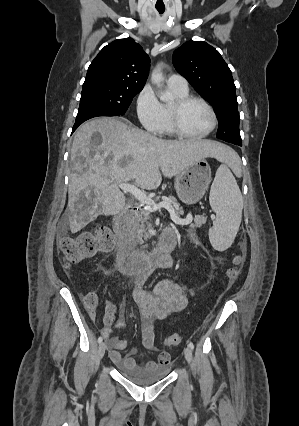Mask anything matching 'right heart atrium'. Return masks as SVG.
I'll return each instance as SVG.
<instances>
[{"mask_svg": "<svg viewBox=\"0 0 299 426\" xmlns=\"http://www.w3.org/2000/svg\"><path fill=\"white\" fill-rule=\"evenodd\" d=\"M136 113L145 130L152 134L162 133L164 125L162 104L153 88L148 84L140 90L137 96Z\"/></svg>", "mask_w": 299, "mask_h": 426, "instance_id": "obj_1", "label": "right heart atrium"}]
</instances>
